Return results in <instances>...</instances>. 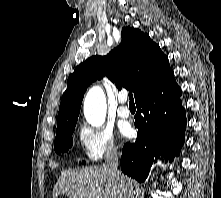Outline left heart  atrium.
Returning a JSON list of instances; mask_svg holds the SVG:
<instances>
[{
	"label": "left heart atrium",
	"instance_id": "obj_1",
	"mask_svg": "<svg viewBox=\"0 0 221 198\" xmlns=\"http://www.w3.org/2000/svg\"><path fill=\"white\" fill-rule=\"evenodd\" d=\"M123 134H124L125 136H130V135L132 134V129H131L130 127H125V128L123 129Z\"/></svg>",
	"mask_w": 221,
	"mask_h": 198
}]
</instances>
